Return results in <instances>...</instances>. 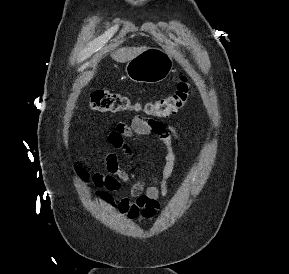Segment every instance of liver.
<instances>
[{"instance_id":"liver-1","label":"liver","mask_w":289,"mask_h":274,"mask_svg":"<svg viewBox=\"0 0 289 274\" xmlns=\"http://www.w3.org/2000/svg\"><path fill=\"white\" fill-rule=\"evenodd\" d=\"M146 47H122L119 48L117 51H115L112 54V58L117 62H127L137 55H139L141 52H143ZM96 68H94L91 72L87 73L82 77L80 80V83L82 86L88 84V82L93 78Z\"/></svg>"}]
</instances>
